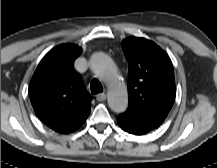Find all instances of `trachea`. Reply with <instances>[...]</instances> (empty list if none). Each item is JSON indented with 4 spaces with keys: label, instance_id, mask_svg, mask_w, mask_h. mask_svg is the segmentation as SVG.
Segmentation results:
<instances>
[{
    "label": "trachea",
    "instance_id": "obj_1",
    "mask_svg": "<svg viewBox=\"0 0 217 168\" xmlns=\"http://www.w3.org/2000/svg\"><path fill=\"white\" fill-rule=\"evenodd\" d=\"M90 89L92 94H98L103 92V87L100 81L96 78H94L90 83Z\"/></svg>",
    "mask_w": 217,
    "mask_h": 168
}]
</instances>
